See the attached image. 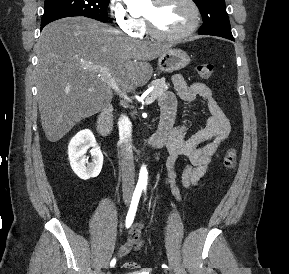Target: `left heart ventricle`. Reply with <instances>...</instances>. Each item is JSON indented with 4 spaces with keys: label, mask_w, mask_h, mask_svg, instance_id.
Listing matches in <instances>:
<instances>
[{
    "label": "left heart ventricle",
    "mask_w": 289,
    "mask_h": 274,
    "mask_svg": "<svg viewBox=\"0 0 289 274\" xmlns=\"http://www.w3.org/2000/svg\"><path fill=\"white\" fill-rule=\"evenodd\" d=\"M144 16L152 19L157 29L166 34H177L192 22V9L185 0H169L161 5L153 2L144 11Z\"/></svg>",
    "instance_id": "obj_1"
}]
</instances>
